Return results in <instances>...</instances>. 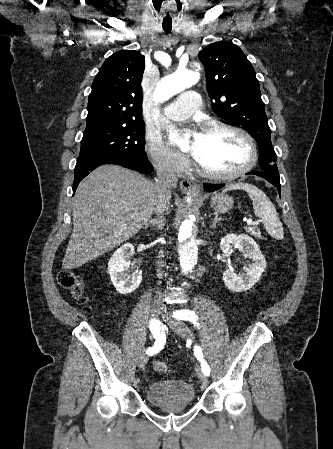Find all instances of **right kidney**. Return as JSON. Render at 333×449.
I'll list each match as a JSON object with an SVG mask.
<instances>
[{"label": "right kidney", "instance_id": "ca27d5eb", "mask_svg": "<svg viewBox=\"0 0 333 449\" xmlns=\"http://www.w3.org/2000/svg\"><path fill=\"white\" fill-rule=\"evenodd\" d=\"M134 254L132 244H124L117 249L108 262V273L112 284L120 294L132 293L142 281V271L136 274H129L130 260Z\"/></svg>", "mask_w": 333, "mask_h": 449}]
</instances>
